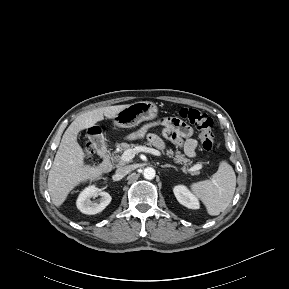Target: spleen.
<instances>
[{
    "instance_id": "obj_1",
    "label": "spleen",
    "mask_w": 289,
    "mask_h": 289,
    "mask_svg": "<svg viewBox=\"0 0 289 289\" xmlns=\"http://www.w3.org/2000/svg\"><path fill=\"white\" fill-rule=\"evenodd\" d=\"M190 187L205 205L207 213L217 216L232 201L236 175L232 166L224 160L220 162L217 172L210 179L192 183Z\"/></svg>"
}]
</instances>
